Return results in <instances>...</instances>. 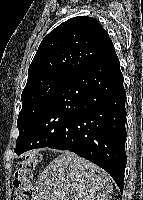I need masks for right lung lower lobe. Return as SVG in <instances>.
<instances>
[{"instance_id": "1", "label": "right lung lower lobe", "mask_w": 143, "mask_h": 200, "mask_svg": "<svg viewBox=\"0 0 143 200\" xmlns=\"http://www.w3.org/2000/svg\"><path fill=\"white\" fill-rule=\"evenodd\" d=\"M116 52L72 74L31 125L16 152L72 151L105 169L123 191L126 92Z\"/></svg>"}]
</instances>
